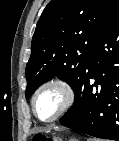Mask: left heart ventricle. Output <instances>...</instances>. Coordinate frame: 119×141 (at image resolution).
Instances as JSON below:
<instances>
[{
  "label": "left heart ventricle",
  "instance_id": "obj_1",
  "mask_svg": "<svg viewBox=\"0 0 119 141\" xmlns=\"http://www.w3.org/2000/svg\"><path fill=\"white\" fill-rule=\"evenodd\" d=\"M62 102V94L56 88L43 91L37 98L36 111L40 118L48 119L59 109Z\"/></svg>",
  "mask_w": 119,
  "mask_h": 141
}]
</instances>
